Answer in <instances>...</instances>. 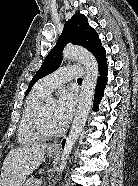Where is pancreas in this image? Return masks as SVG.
<instances>
[{"mask_svg":"<svg viewBox=\"0 0 138 186\" xmlns=\"http://www.w3.org/2000/svg\"><path fill=\"white\" fill-rule=\"evenodd\" d=\"M28 186H40V181L38 179H32Z\"/></svg>","mask_w":138,"mask_h":186,"instance_id":"pancreas-1","label":"pancreas"}]
</instances>
